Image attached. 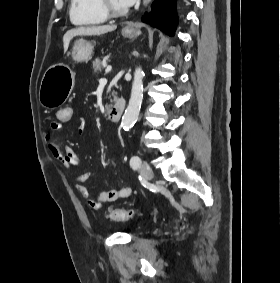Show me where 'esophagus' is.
<instances>
[{"label": "esophagus", "instance_id": "obj_1", "mask_svg": "<svg viewBox=\"0 0 280 283\" xmlns=\"http://www.w3.org/2000/svg\"><path fill=\"white\" fill-rule=\"evenodd\" d=\"M150 3V0H143V5L147 6Z\"/></svg>", "mask_w": 280, "mask_h": 283}]
</instances>
